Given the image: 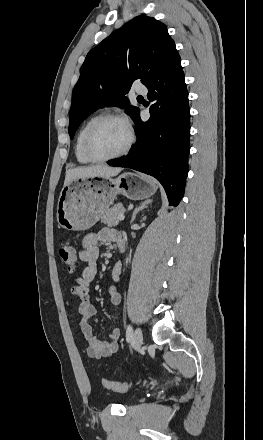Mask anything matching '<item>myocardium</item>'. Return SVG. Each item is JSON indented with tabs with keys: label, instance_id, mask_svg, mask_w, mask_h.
Returning <instances> with one entry per match:
<instances>
[{
	"label": "myocardium",
	"instance_id": "f54148a6",
	"mask_svg": "<svg viewBox=\"0 0 263 440\" xmlns=\"http://www.w3.org/2000/svg\"><path fill=\"white\" fill-rule=\"evenodd\" d=\"M108 121H116V122L121 123L125 127V130L127 133V140H126V143L124 144V146L116 153H113L110 155H100V154L96 153L93 149V145H92L93 137H94L96 130L102 124H104ZM134 141H135V135H134L133 129H132L129 121L122 115L109 113V114H104V115L99 116L91 123V125L87 129L86 134L84 136L83 149H84V153L86 154V156L89 159H91L92 161L106 162V161L114 160V159H117V158H120V157L126 155L130 151V149L132 148Z\"/></svg>",
	"mask_w": 263,
	"mask_h": 440
}]
</instances>
